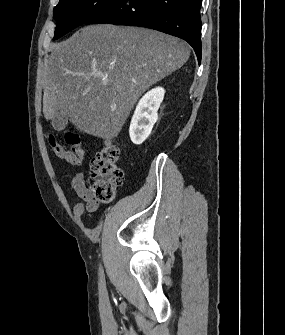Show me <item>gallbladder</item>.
<instances>
[{
    "label": "gallbladder",
    "instance_id": "bac80fb5",
    "mask_svg": "<svg viewBox=\"0 0 285 335\" xmlns=\"http://www.w3.org/2000/svg\"><path fill=\"white\" fill-rule=\"evenodd\" d=\"M67 116H62V114H58V116H55L52 120V126L54 130H57V132H61V130H64L66 128L67 124Z\"/></svg>",
    "mask_w": 285,
    "mask_h": 335
}]
</instances>
